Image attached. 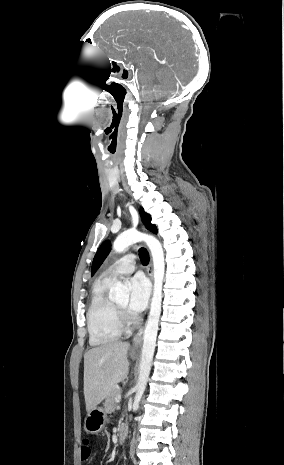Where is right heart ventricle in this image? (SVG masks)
<instances>
[{
  "instance_id": "1",
  "label": "right heart ventricle",
  "mask_w": 284,
  "mask_h": 465,
  "mask_svg": "<svg viewBox=\"0 0 284 465\" xmlns=\"http://www.w3.org/2000/svg\"><path fill=\"white\" fill-rule=\"evenodd\" d=\"M110 281L97 284L91 294L87 312V330L92 346H108L121 337L116 322L119 321L114 304L107 297L106 289Z\"/></svg>"
}]
</instances>
